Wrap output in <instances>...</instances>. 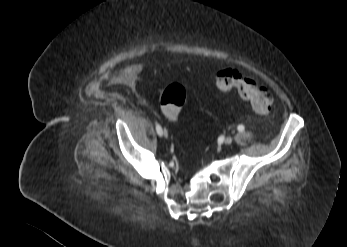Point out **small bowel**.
<instances>
[{
  "label": "small bowel",
  "mask_w": 347,
  "mask_h": 247,
  "mask_svg": "<svg viewBox=\"0 0 347 247\" xmlns=\"http://www.w3.org/2000/svg\"><path fill=\"white\" fill-rule=\"evenodd\" d=\"M137 74L138 71L136 65H129L124 67L120 74H110L108 80L121 79L127 86L134 87L136 85Z\"/></svg>",
  "instance_id": "obj_1"
}]
</instances>
